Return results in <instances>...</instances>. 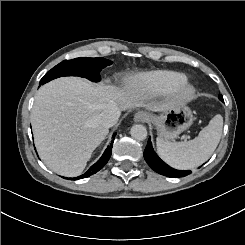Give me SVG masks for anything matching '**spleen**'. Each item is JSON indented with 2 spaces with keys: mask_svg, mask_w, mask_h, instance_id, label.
I'll return each instance as SVG.
<instances>
[{
  "mask_svg": "<svg viewBox=\"0 0 245 245\" xmlns=\"http://www.w3.org/2000/svg\"><path fill=\"white\" fill-rule=\"evenodd\" d=\"M223 117L215 116L198 137L187 143L171 144L156 138L159 157L176 170H191L205 163L216 150L222 136Z\"/></svg>",
  "mask_w": 245,
  "mask_h": 245,
  "instance_id": "obj_1",
  "label": "spleen"
}]
</instances>
